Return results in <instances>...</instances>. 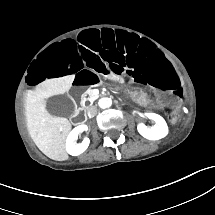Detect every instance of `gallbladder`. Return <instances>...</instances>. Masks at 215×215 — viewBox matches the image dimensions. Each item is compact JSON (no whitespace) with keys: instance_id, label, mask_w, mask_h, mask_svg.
<instances>
[{"instance_id":"bac80fb5","label":"gallbladder","mask_w":215,"mask_h":215,"mask_svg":"<svg viewBox=\"0 0 215 215\" xmlns=\"http://www.w3.org/2000/svg\"><path fill=\"white\" fill-rule=\"evenodd\" d=\"M48 110L54 116L68 118L74 114L75 104L71 98L55 96L48 101Z\"/></svg>"}]
</instances>
